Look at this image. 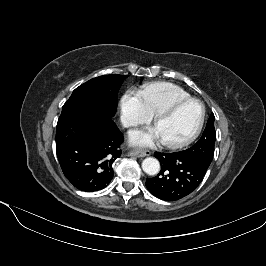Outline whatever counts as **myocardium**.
Returning a JSON list of instances; mask_svg holds the SVG:
<instances>
[{"label":"myocardium","instance_id":"obj_1","mask_svg":"<svg viewBox=\"0 0 266 266\" xmlns=\"http://www.w3.org/2000/svg\"><path fill=\"white\" fill-rule=\"evenodd\" d=\"M189 103H197L201 107V118L199 120V123L196 127V129L193 131L191 135H189L187 138L180 140V141H163V144L171 149H178L185 147L192 143L201 133V130L204 126L205 119H206V108L202 101L196 98H187L182 99L179 101H176L169 105L168 107L164 108L163 110L159 111L157 114H155L154 117V124L155 126L164 118L171 116L174 114L178 109L183 107L184 105H187Z\"/></svg>","mask_w":266,"mask_h":266}]
</instances>
